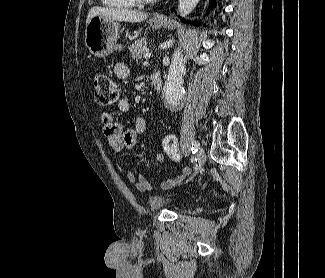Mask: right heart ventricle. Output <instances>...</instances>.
I'll return each mask as SVG.
<instances>
[{"instance_id":"1","label":"right heart ventricle","mask_w":325,"mask_h":278,"mask_svg":"<svg viewBox=\"0 0 325 278\" xmlns=\"http://www.w3.org/2000/svg\"><path fill=\"white\" fill-rule=\"evenodd\" d=\"M101 3L114 9H130L136 5L134 0H101Z\"/></svg>"}]
</instances>
